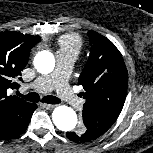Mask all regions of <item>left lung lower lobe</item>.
Here are the masks:
<instances>
[{
    "label": "left lung lower lobe",
    "mask_w": 153,
    "mask_h": 153,
    "mask_svg": "<svg viewBox=\"0 0 153 153\" xmlns=\"http://www.w3.org/2000/svg\"><path fill=\"white\" fill-rule=\"evenodd\" d=\"M66 136L68 139L74 142H89L91 140L98 138L95 135H89L86 132L80 134L76 132H71V133H66Z\"/></svg>",
    "instance_id": "left-lung-lower-lobe-1"
}]
</instances>
